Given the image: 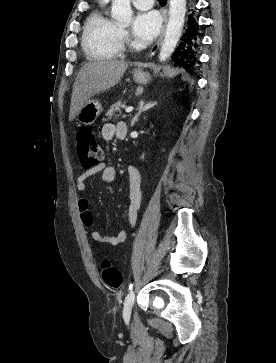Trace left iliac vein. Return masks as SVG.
<instances>
[{
	"label": "left iliac vein",
	"instance_id": "4c4485c4",
	"mask_svg": "<svg viewBox=\"0 0 276 363\" xmlns=\"http://www.w3.org/2000/svg\"><path fill=\"white\" fill-rule=\"evenodd\" d=\"M135 294L134 291L131 290L125 298L124 308H123V316L124 318H129L131 314V310L134 304Z\"/></svg>",
	"mask_w": 276,
	"mask_h": 363
}]
</instances>
